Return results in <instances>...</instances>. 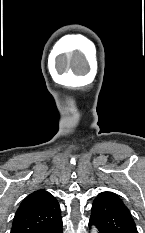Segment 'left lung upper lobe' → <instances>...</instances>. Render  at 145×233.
I'll list each match as a JSON object with an SVG mask.
<instances>
[{
	"instance_id": "5c2ea615",
	"label": "left lung upper lobe",
	"mask_w": 145,
	"mask_h": 233,
	"mask_svg": "<svg viewBox=\"0 0 145 233\" xmlns=\"http://www.w3.org/2000/svg\"><path fill=\"white\" fill-rule=\"evenodd\" d=\"M90 221L102 233H138L129 209L112 192H102L95 198Z\"/></svg>"
}]
</instances>
